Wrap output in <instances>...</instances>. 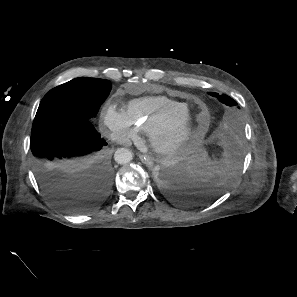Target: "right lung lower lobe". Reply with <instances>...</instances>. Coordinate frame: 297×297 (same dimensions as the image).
<instances>
[{
    "label": "right lung lower lobe",
    "instance_id": "98d812e1",
    "mask_svg": "<svg viewBox=\"0 0 297 297\" xmlns=\"http://www.w3.org/2000/svg\"><path fill=\"white\" fill-rule=\"evenodd\" d=\"M107 143L82 119H63L32 130L30 147L39 185L69 213L98 209L112 186Z\"/></svg>",
    "mask_w": 297,
    "mask_h": 297
}]
</instances>
